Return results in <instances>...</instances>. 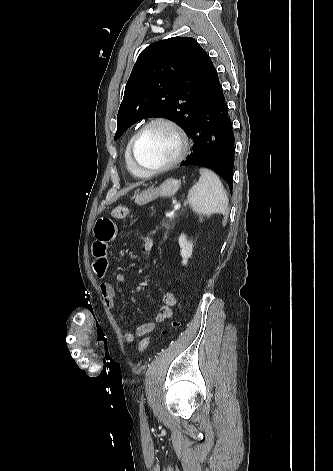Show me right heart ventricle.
<instances>
[{
	"label": "right heart ventricle",
	"instance_id": "right-heart-ventricle-1",
	"mask_svg": "<svg viewBox=\"0 0 333 471\" xmlns=\"http://www.w3.org/2000/svg\"><path fill=\"white\" fill-rule=\"evenodd\" d=\"M132 137L133 135L129 138L127 144H126V147H125V153H124V158H125V165H126V168L127 170L133 174L134 176H137V177H145V175H142L132 164L131 160H130V154H129V149H130V143H131V140H132Z\"/></svg>",
	"mask_w": 333,
	"mask_h": 471
}]
</instances>
